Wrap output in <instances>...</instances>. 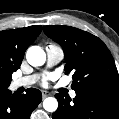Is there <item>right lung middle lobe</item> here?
I'll list each match as a JSON object with an SVG mask.
<instances>
[{
	"instance_id": "obj_1",
	"label": "right lung middle lobe",
	"mask_w": 119,
	"mask_h": 119,
	"mask_svg": "<svg viewBox=\"0 0 119 119\" xmlns=\"http://www.w3.org/2000/svg\"><path fill=\"white\" fill-rule=\"evenodd\" d=\"M11 80H12V77H6L1 79L0 81L1 88H7L10 85Z\"/></svg>"
}]
</instances>
